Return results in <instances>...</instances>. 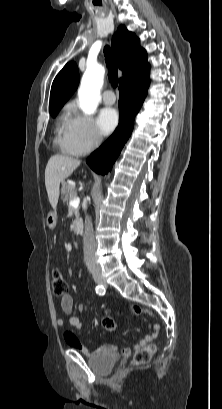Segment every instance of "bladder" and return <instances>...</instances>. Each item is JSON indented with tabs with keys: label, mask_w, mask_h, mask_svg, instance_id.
Instances as JSON below:
<instances>
[{
	"label": "bladder",
	"mask_w": 222,
	"mask_h": 409,
	"mask_svg": "<svg viewBox=\"0 0 222 409\" xmlns=\"http://www.w3.org/2000/svg\"><path fill=\"white\" fill-rule=\"evenodd\" d=\"M118 354L105 352L89 359L88 365L97 373L109 372L118 361Z\"/></svg>",
	"instance_id": "obj_1"
}]
</instances>
